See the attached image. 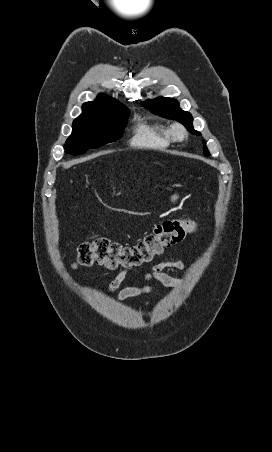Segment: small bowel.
I'll return each mask as SVG.
<instances>
[{
  "label": "small bowel",
  "mask_w": 272,
  "mask_h": 452,
  "mask_svg": "<svg viewBox=\"0 0 272 452\" xmlns=\"http://www.w3.org/2000/svg\"><path fill=\"white\" fill-rule=\"evenodd\" d=\"M187 263L182 260H173L156 263L152 266L151 270L145 273L144 278L147 282L141 286H126L120 289L122 282L127 278L130 271L123 270L116 275L113 281L109 285L110 291H117V299L122 301L144 294L150 293L156 284H162L167 286H176L183 284V280L166 273V270L173 269L182 271L186 269Z\"/></svg>",
  "instance_id": "small-bowel-1"
}]
</instances>
